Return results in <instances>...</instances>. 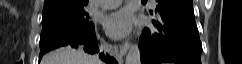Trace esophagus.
Wrapping results in <instances>:
<instances>
[{
    "label": "esophagus",
    "mask_w": 242,
    "mask_h": 64,
    "mask_svg": "<svg viewBox=\"0 0 242 64\" xmlns=\"http://www.w3.org/2000/svg\"><path fill=\"white\" fill-rule=\"evenodd\" d=\"M129 47H130V44L128 42L122 44L120 46V54L125 55L127 53L128 49H129Z\"/></svg>",
    "instance_id": "esophagus-1"
}]
</instances>
